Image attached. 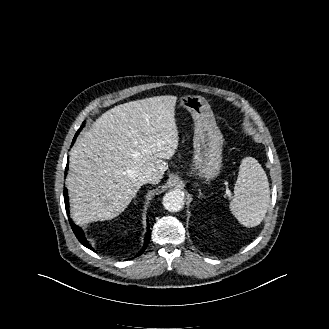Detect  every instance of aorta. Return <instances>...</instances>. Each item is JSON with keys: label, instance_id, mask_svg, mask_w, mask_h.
I'll return each instance as SVG.
<instances>
[{"label": "aorta", "instance_id": "aorta-1", "mask_svg": "<svg viewBox=\"0 0 329 329\" xmlns=\"http://www.w3.org/2000/svg\"><path fill=\"white\" fill-rule=\"evenodd\" d=\"M163 206L170 212H178L184 205V194L179 189L167 192L163 196Z\"/></svg>", "mask_w": 329, "mask_h": 329}]
</instances>
